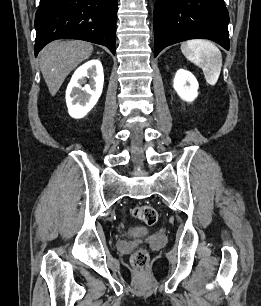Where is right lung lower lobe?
<instances>
[{
	"label": "right lung lower lobe",
	"instance_id": "obj_1",
	"mask_svg": "<svg viewBox=\"0 0 261 306\" xmlns=\"http://www.w3.org/2000/svg\"><path fill=\"white\" fill-rule=\"evenodd\" d=\"M117 0H41L35 16V56L55 39L73 38L115 54Z\"/></svg>",
	"mask_w": 261,
	"mask_h": 306
}]
</instances>
